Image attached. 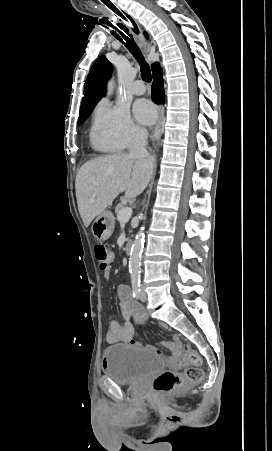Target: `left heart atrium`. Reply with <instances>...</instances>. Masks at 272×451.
Wrapping results in <instances>:
<instances>
[{"instance_id": "left-heart-atrium-1", "label": "left heart atrium", "mask_w": 272, "mask_h": 451, "mask_svg": "<svg viewBox=\"0 0 272 451\" xmlns=\"http://www.w3.org/2000/svg\"><path fill=\"white\" fill-rule=\"evenodd\" d=\"M137 118L144 124L153 122L156 112L153 105L146 100L139 102L135 108Z\"/></svg>"}]
</instances>
